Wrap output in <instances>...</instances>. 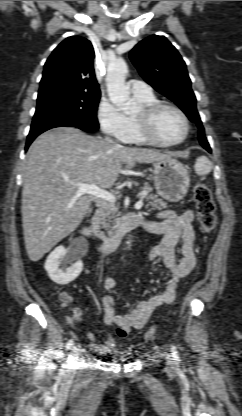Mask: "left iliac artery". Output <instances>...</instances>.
<instances>
[{"instance_id": "left-iliac-artery-1", "label": "left iliac artery", "mask_w": 242, "mask_h": 416, "mask_svg": "<svg viewBox=\"0 0 242 416\" xmlns=\"http://www.w3.org/2000/svg\"><path fill=\"white\" fill-rule=\"evenodd\" d=\"M171 352H172V356H173L174 360L176 362H179L180 361V357H179V353H178V351H177V349H176L175 346H172L171 347Z\"/></svg>"}]
</instances>
